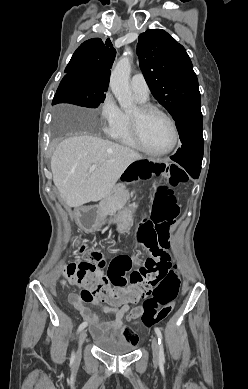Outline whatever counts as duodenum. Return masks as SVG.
Wrapping results in <instances>:
<instances>
[{
	"label": "duodenum",
	"mask_w": 248,
	"mask_h": 389,
	"mask_svg": "<svg viewBox=\"0 0 248 389\" xmlns=\"http://www.w3.org/2000/svg\"><path fill=\"white\" fill-rule=\"evenodd\" d=\"M84 213H89V209H84L78 214V221L84 227L85 230L95 229V226L89 225V220H84Z\"/></svg>",
	"instance_id": "duodenum-1"
}]
</instances>
